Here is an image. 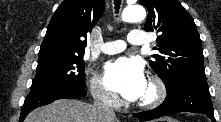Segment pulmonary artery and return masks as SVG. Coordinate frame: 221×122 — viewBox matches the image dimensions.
<instances>
[{
  "instance_id": "pulmonary-artery-1",
  "label": "pulmonary artery",
  "mask_w": 221,
  "mask_h": 122,
  "mask_svg": "<svg viewBox=\"0 0 221 122\" xmlns=\"http://www.w3.org/2000/svg\"><path fill=\"white\" fill-rule=\"evenodd\" d=\"M145 42L146 39L139 30H132L127 36V43L131 45L140 46ZM127 43L123 40L109 41L102 45L101 51L105 54H116L122 52L126 48Z\"/></svg>"
}]
</instances>
